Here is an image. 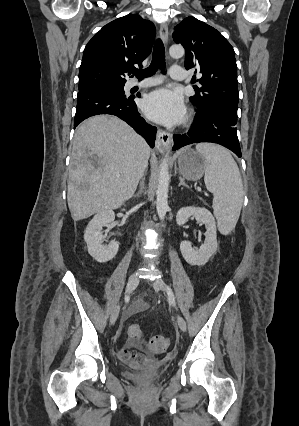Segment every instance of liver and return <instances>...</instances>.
Listing matches in <instances>:
<instances>
[{
  "instance_id": "obj_1",
  "label": "liver",
  "mask_w": 299,
  "mask_h": 426,
  "mask_svg": "<svg viewBox=\"0 0 299 426\" xmlns=\"http://www.w3.org/2000/svg\"><path fill=\"white\" fill-rule=\"evenodd\" d=\"M145 140L117 117L97 115L77 128L70 155L68 207L74 221L129 200L148 166Z\"/></svg>"
}]
</instances>
